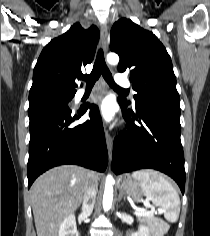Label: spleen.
Masks as SVG:
<instances>
[{"mask_svg":"<svg viewBox=\"0 0 210 236\" xmlns=\"http://www.w3.org/2000/svg\"><path fill=\"white\" fill-rule=\"evenodd\" d=\"M132 176L140 180L144 194L152 203L163 209L165 219L175 223L180 213V198L174 186L153 170L135 171Z\"/></svg>","mask_w":210,"mask_h":236,"instance_id":"obj_1","label":"spleen"}]
</instances>
